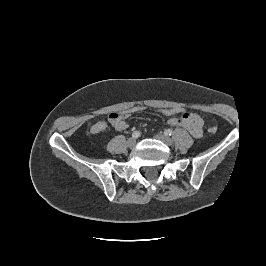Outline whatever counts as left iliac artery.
<instances>
[{
    "instance_id": "44dca946",
    "label": "left iliac artery",
    "mask_w": 266,
    "mask_h": 266,
    "mask_svg": "<svg viewBox=\"0 0 266 266\" xmlns=\"http://www.w3.org/2000/svg\"><path fill=\"white\" fill-rule=\"evenodd\" d=\"M165 134L171 136L173 134V131L171 129L165 130Z\"/></svg>"
}]
</instances>
